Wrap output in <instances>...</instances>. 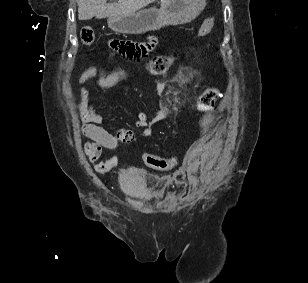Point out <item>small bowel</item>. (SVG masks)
<instances>
[{"instance_id": "c3829d8e", "label": "small bowel", "mask_w": 308, "mask_h": 283, "mask_svg": "<svg viewBox=\"0 0 308 283\" xmlns=\"http://www.w3.org/2000/svg\"><path fill=\"white\" fill-rule=\"evenodd\" d=\"M156 40L149 37L144 42H131L123 40H111L109 42L110 54L118 55L129 60H137L153 50ZM128 77V71L118 69L111 72L98 71L90 67L80 76L79 82L85 86L80 91L78 103L79 114L82 122V135L88 139L83 150L88 160L94 164L98 173H107L118 164L116 157L98 162L104 149L114 150L120 143H130L134 140V132L128 128L110 131L102 126L103 118L89 99V89L86 86L94 82L100 89H108ZM170 104L161 102L156 116L149 119L145 112L137 114L136 126L142 128V137L152 135L153 126L166 118L170 110ZM189 178H193L191 172H187Z\"/></svg>"}]
</instances>
